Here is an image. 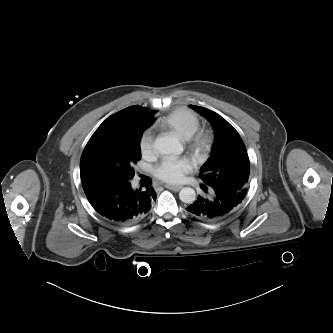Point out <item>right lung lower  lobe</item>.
<instances>
[{"label": "right lung lower lobe", "mask_w": 333, "mask_h": 333, "mask_svg": "<svg viewBox=\"0 0 333 333\" xmlns=\"http://www.w3.org/2000/svg\"><path fill=\"white\" fill-rule=\"evenodd\" d=\"M93 208L116 224H133L142 219L156 200L151 187L145 191L133 190L130 181L95 180L82 183Z\"/></svg>", "instance_id": "right-lung-lower-lobe-1"}]
</instances>
